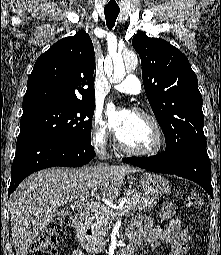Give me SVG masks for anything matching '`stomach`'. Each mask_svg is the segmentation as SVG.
Wrapping results in <instances>:
<instances>
[{"label":"stomach","mask_w":221,"mask_h":255,"mask_svg":"<svg viewBox=\"0 0 221 255\" xmlns=\"http://www.w3.org/2000/svg\"><path fill=\"white\" fill-rule=\"evenodd\" d=\"M140 191L144 197L156 200L169 192V183L157 174H144L139 181Z\"/></svg>","instance_id":"1"}]
</instances>
